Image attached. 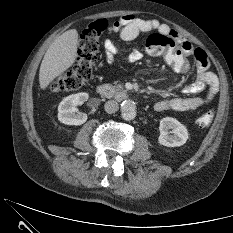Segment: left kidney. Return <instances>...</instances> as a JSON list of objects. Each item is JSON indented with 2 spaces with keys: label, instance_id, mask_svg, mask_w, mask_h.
Instances as JSON below:
<instances>
[{
  "label": "left kidney",
  "instance_id": "obj_1",
  "mask_svg": "<svg viewBox=\"0 0 233 233\" xmlns=\"http://www.w3.org/2000/svg\"><path fill=\"white\" fill-rule=\"evenodd\" d=\"M172 131H168V130ZM160 136L158 142L166 147H179L186 143L189 138L187 128L177 119L165 117L160 120ZM170 133L172 135H170Z\"/></svg>",
  "mask_w": 233,
  "mask_h": 233
}]
</instances>
